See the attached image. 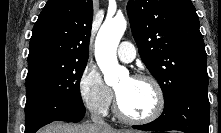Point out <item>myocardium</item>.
Masks as SVG:
<instances>
[{"label": "myocardium", "instance_id": "obj_1", "mask_svg": "<svg viewBox=\"0 0 221 133\" xmlns=\"http://www.w3.org/2000/svg\"><path fill=\"white\" fill-rule=\"evenodd\" d=\"M131 78L134 80L147 81L152 85L154 92H155V96H156L155 107L153 111L145 117L129 116L123 112L119 96L116 92V104H115L116 116L120 120L130 123V124H147V123L155 121L161 116L165 108V95H164V91H163L161 84L155 77L148 75V74H135Z\"/></svg>", "mask_w": 221, "mask_h": 133}]
</instances>
